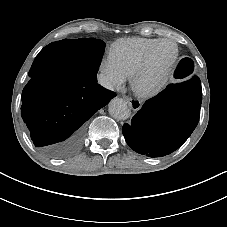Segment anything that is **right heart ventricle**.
<instances>
[{"label": "right heart ventricle", "mask_w": 227, "mask_h": 227, "mask_svg": "<svg viewBox=\"0 0 227 227\" xmlns=\"http://www.w3.org/2000/svg\"><path fill=\"white\" fill-rule=\"evenodd\" d=\"M160 39L130 37L117 40L111 47L109 58L129 75L149 49Z\"/></svg>", "instance_id": "e07e8e85"}]
</instances>
